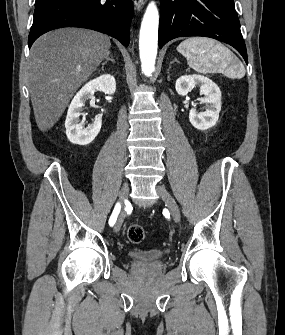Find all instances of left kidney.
Segmentation results:
<instances>
[{
  "label": "left kidney",
  "mask_w": 285,
  "mask_h": 335,
  "mask_svg": "<svg viewBox=\"0 0 285 335\" xmlns=\"http://www.w3.org/2000/svg\"><path fill=\"white\" fill-rule=\"evenodd\" d=\"M199 86L200 94H204V98H200V104H206L205 112H197L192 108L189 112V120L197 130H208L215 126L218 122L221 112V92L212 80L205 76H181L176 80L175 88L179 96H187L193 88Z\"/></svg>",
  "instance_id": "5707ae66"
}]
</instances>
